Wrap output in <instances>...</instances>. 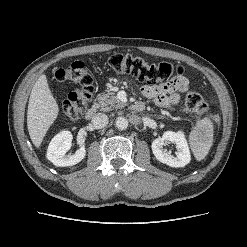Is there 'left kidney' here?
Listing matches in <instances>:
<instances>
[{
	"label": "left kidney",
	"instance_id": "left-kidney-1",
	"mask_svg": "<svg viewBox=\"0 0 247 247\" xmlns=\"http://www.w3.org/2000/svg\"><path fill=\"white\" fill-rule=\"evenodd\" d=\"M169 141L176 144V156L171 155L170 152L163 149ZM151 148L158 161L171 167H184L191 160L188 143L182 131H166L162 137L157 138L152 142Z\"/></svg>",
	"mask_w": 247,
	"mask_h": 247
}]
</instances>
